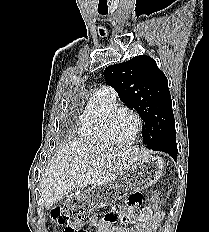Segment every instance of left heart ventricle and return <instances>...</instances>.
<instances>
[{
    "label": "left heart ventricle",
    "mask_w": 209,
    "mask_h": 232,
    "mask_svg": "<svg viewBox=\"0 0 209 232\" xmlns=\"http://www.w3.org/2000/svg\"><path fill=\"white\" fill-rule=\"evenodd\" d=\"M137 122L129 112L120 113L112 123V131L117 139L125 140L135 132Z\"/></svg>",
    "instance_id": "1"
}]
</instances>
